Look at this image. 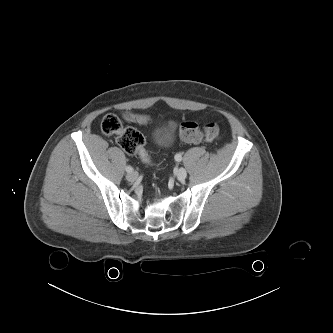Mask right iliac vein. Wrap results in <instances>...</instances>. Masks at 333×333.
I'll return each instance as SVG.
<instances>
[{
    "label": "right iliac vein",
    "instance_id": "obj_1",
    "mask_svg": "<svg viewBox=\"0 0 333 333\" xmlns=\"http://www.w3.org/2000/svg\"><path fill=\"white\" fill-rule=\"evenodd\" d=\"M138 177V174L136 172H130L126 175V179L130 182H134Z\"/></svg>",
    "mask_w": 333,
    "mask_h": 333
}]
</instances>
